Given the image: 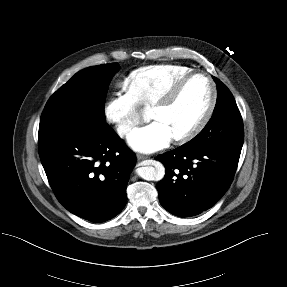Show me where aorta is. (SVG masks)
<instances>
[{"label": "aorta", "instance_id": "762f6f07", "mask_svg": "<svg viewBox=\"0 0 287 287\" xmlns=\"http://www.w3.org/2000/svg\"><path fill=\"white\" fill-rule=\"evenodd\" d=\"M137 174L147 181H159L165 175V168L161 163L154 166H143L137 169Z\"/></svg>", "mask_w": 287, "mask_h": 287}]
</instances>
